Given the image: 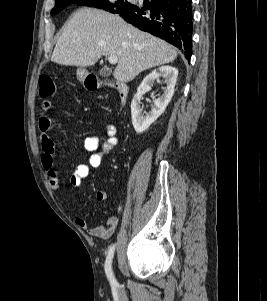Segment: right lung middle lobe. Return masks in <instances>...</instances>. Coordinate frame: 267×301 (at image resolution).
I'll return each instance as SVG.
<instances>
[{
    "mask_svg": "<svg viewBox=\"0 0 267 301\" xmlns=\"http://www.w3.org/2000/svg\"><path fill=\"white\" fill-rule=\"evenodd\" d=\"M73 3L81 6L104 9L117 14L134 6L127 0H55V6L52 9L51 14L55 15L66 6Z\"/></svg>",
    "mask_w": 267,
    "mask_h": 301,
    "instance_id": "1",
    "label": "right lung middle lobe"
}]
</instances>
